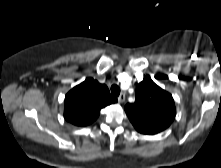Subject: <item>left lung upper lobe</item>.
Here are the masks:
<instances>
[{"mask_svg": "<svg viewBox=\"0 0 221 168\" xmlns=\"http://www.w3.org/2000/svg\"><path fill=\"white\" fill-rule=\"evenodd\" d=\"M125 112L134 128L154 135L170 126L176 115L172 95L145 76L136 87V100L125 106Z\"/></svg>", "mask_w": 221, "mask_h": 168, "instance_id": "obj_1", "label": "left lung upper lobe"}]
</instances>
